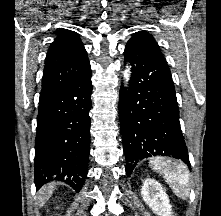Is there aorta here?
Returning <instances> with one entry per match:
<instances>
[{"instance_id": "aorta-1", "label": "aorta", "mask_w": 221, "mask_h": 216, "mask_svg": "<svg viewBox=\"0 0 221 216\" xmlns=\"http://www.w3.org/2000/svg\"><path fill=\"white\" fill-rule=\"evenodd\" d=\"M123 77H124V84L126 86L129 81V78H130V69L128 66H126V68L123 72Z\"/></svg>"}]
</instances>
